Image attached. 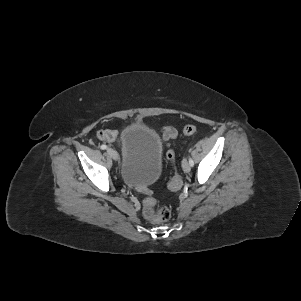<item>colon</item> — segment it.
<instances>
[{"instance_id":"colon-1","label":"colon","mask_w":301,"mask_h":301,"mask_svg":"<svg viewBox=\"0 0 301 301\" xmlns=\"http://www.w3.org/2000/svg\"><path fill=\"white\" fill-rule=\"evenodd\" d=\"M197 131L196 126L187 125L183 129L185 135H193ZM99 138L106 141H111L114 135L111 131H102L99 133ZM167 158L174 164L177 158L174 150L167 152ZM182 186V177L178 172L175 173L174 177L170 181L169 187L172 190H178ZM157 205L156 199L153 197H146L143 200V214L144 216L154 222L164 223L167 222L171 217V210L168 207H161L155 210Z\"/></svg>"}]
</instances>
